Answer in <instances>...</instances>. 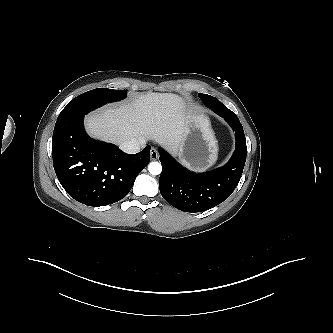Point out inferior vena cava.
Listing matches in <instances>:
<instances>
[{
  "label": "inferior vena cava",
  "instance_id": "1",
  "mask_svg": "<svg viewBox=\"0 0 333 333\" xmlns=\"http://www.w3.org/2000/svg\"><path fill=\"white\" fill-rule=\"evenodd\" d=\"M144 141H138L136 139L125 141L120 145L122 151L128 154L138 153L140 151V147L144 146Z\"/></svg>",
  "mask_w": 333,
  "mask_h": 333
}]
</instances>
